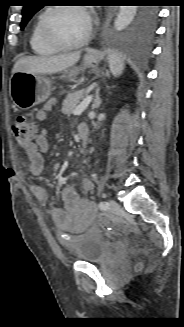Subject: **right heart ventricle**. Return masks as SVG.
<instances>
[{"label":"right heart ventricle","instance_id":"e07e8e85","mask_svg":"<svg viewBox=\"0 0 184 327\" xmlns=\"http://www.w3.org/2000/svg\"><path fill=\"white\" fill-rule=\"evenodd\" d=\"M43 14L44 12L41 13L33 23L30 33V46L34 53L42 56H49L56 54L59 49L48 44L42 37L40 22Z\"/></svg>","mask_w":184,"mask_h":327}]
</instances>
